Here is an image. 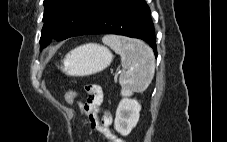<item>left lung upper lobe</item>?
I'll return each mask as SVG.
<instances>
[{"label":"left lung upper lobe","mask_w":227,"mask_h":142,"mask_svg":"<svg viewBox=\"0 0 227 142\" xmlns=\"http://www.w3.org/2000/svg\"><path fill=\"white\" fill-rule=\"evenodd\" d=\"M109 0H44L40 48L64 40L84 26Z\"/></svg>","instance_id":"1"}]
</instances>
